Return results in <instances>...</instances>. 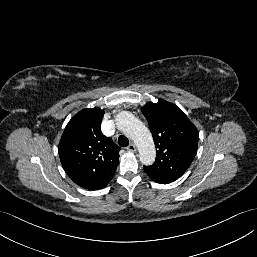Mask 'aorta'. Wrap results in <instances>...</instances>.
<instances>
[{
	"label": "aorta",
	"mask_w": 257,
	"mask_h": 257,
	"mask_svg": "<svg viewBox=\"0 0 257 257\" xmlns=\"http://www.w3.org/2000/svg\"><path fill=\"white\" fill-rule=\"evenodd\" d=\"M116 125L118 129L126 133L136 143L141 163L144 165L153 164L156 151L148 128L128 111L120 112L117 115Z\"/></svg>",
	"instance_id": "1"
}]
</instances>
